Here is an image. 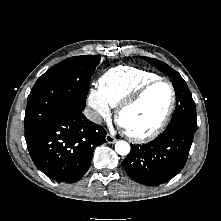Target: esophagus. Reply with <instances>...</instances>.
<instances>
[{
    "label": "esophagus",
    "instance_id": "obj_1",
    "mask_svg": "<svg viewBox=\"0 0 221 221\" xmlns=\"http://www.w3.org/2000/svg\"><path fill=\"white\" fill-rule=\"evenodd\" d=\"M105 139L109 144L115 143L117 141V139L111 134H107Z\"/></svg>",
    "mask_w": 221,
    "mask_h": 221
}]
</instances>
